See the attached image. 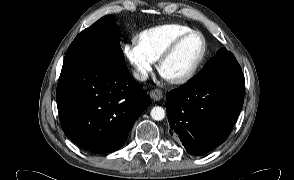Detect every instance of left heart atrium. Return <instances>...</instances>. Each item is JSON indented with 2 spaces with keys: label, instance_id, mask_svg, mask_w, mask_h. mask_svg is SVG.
<instances>
[{
  "label": "left heart atrium",
  "instance_id": "1",
  "mask_svg": "<svg viewBox=\"0 0 294 180\" xmlns=\"http://www.w3.org/2000/svg\"><path fill=\"white\" fill-rule=\"evenodd\" d=\"M162 76H163L164 78L168 79L164 73H162Z\"/></svg>",
  "mask_w": 294,
  "mask_h": 180
}]
</instances>
